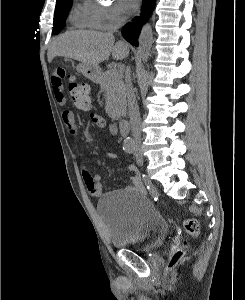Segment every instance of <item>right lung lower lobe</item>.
Listing matches in <instances>:
<instances>
[{"instance_id": "right-lung-lower-lobe-1", "label": "right lung lower lobe", "mask_w": 245, "mask_h": 300, "mask_svg": "<svg viewBox=\"0 0 245 300\" xmlns=\"http://www.w3.org/2000/svg\"><path fill=\"white\" fill-rule=\"evenodd\" d=\"M155 6V0H143L140 16H137L132 22L127 23L122 28V35L129 43L138 46V36L143 24L149 18Z\"/></svg>"}]
</instances>
